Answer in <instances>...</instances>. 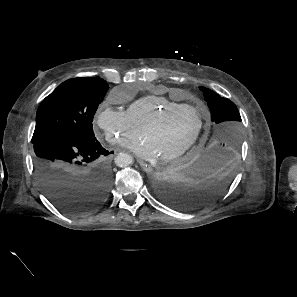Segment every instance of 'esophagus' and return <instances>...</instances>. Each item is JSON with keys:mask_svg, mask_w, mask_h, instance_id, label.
<instances>
[{"mask_svg": "<svg viewBox=\"0 0 297 297\" xmlns=\"http://www.w3.org/2000/svg\"><path fill=\"white\" fill-rule=\"evenodd\" d=\"M139 164H140L141 168H142L146 173H151V172L153 171L152 167H151L149 164H147V163H145V162H142V161H140Z\"/></svg>", "mask_w": 297, "mask_h": 297, "instance_id": "esophagus-1", "label": "esophagus"}]
</instances>
